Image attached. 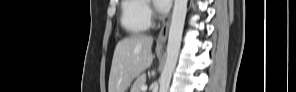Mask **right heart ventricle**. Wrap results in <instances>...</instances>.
<instances>
[{
  "label": "right heart ventricle",
  "instance_id": "e07e8e85",
  "mask_svg": "<svg viewBox=\"0 0 296 92\" xmlns=\"http://www.w3.org/2000/svg\"><path fill=\"white\" fill-rule=\"evenodd\" d=\"M146 2L141 0H125L121 5V25L130 34L145 32L150 21L145 13Z\"/></svg>",
  "mask_w": 296,
  "mask_h": 92
}]
</instances>
